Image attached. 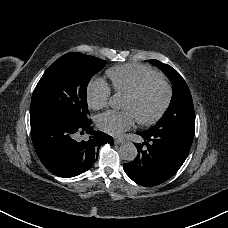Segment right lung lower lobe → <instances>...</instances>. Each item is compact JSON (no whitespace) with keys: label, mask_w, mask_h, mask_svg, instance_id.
I'll return each mask as SVG.
<instances>
[{"label":"right lung lower lobe","mask_w":228,"mask_h":228,"mask_svg":"<svg viewBox=\"0 0 228 228\" xmlns=\"http://www.w3.org/2000/svg\"><path fill=\"white\" fill-rule=\"evenodd\" d=\"M91 123L90 119L82 124L55 118L31 120L34 148L51 173L64 178L77 176L92 166L101 145L114 144L111 136L95 131Z\"/></svg>","instance_id":"98d812e1"}]
</instances>
